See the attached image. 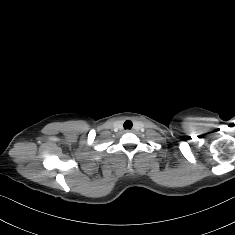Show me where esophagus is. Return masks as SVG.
Segmentation results:
<instances>
[{
    "mask_svg": "<svg viewBox=\"0 0 235 235\" xmlns=\"http://www.w3.org/2000/svg\"><path fill=\"white\" fill-rule=\"evenodd\" d=\"M126 132H133V130H126Z\"/></svg>",
    "mask_w": 235,
    "mask_h": 235,
    "instance_id": "esophagus-1",
    "label": "esophagus"
}]
</instances>
